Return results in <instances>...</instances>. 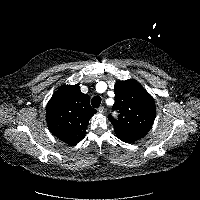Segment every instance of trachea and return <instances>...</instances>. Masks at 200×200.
I'll use <instances>...</instances> for the list:
<instances>
[{"label":"trachea","mask_w":200,"mask_h":200,"mask_svg":"<svg viewBox=\"0 0 200 200\" xmlns=\"http://www.w3.org/2000/svg\"><path fill=\"white\" fill-rule=\"evenodd\" d=\"M101 97L99 96H94L92 99H91V104L94 108H98L101 104Z\"/></svg>","instance_id":"obj_1"}]
</instances>
